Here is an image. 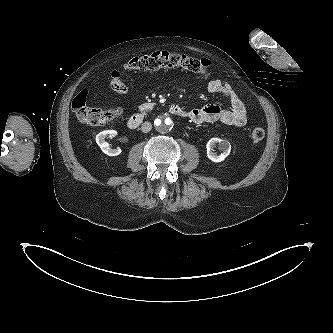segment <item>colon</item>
<instances>
[{
    "instance_id": "obj_1",
    "label": "colon",
    "mask_w": 333,
    "mask_h": 333,
    "mask_svg": "<svg viewBox=\"0 0 333 333\" xmlns=\"http://www.w3.org/2000/svg\"><path fill=\"white\" fill-rule=\"evenodd\" d=\"M181 66L194 72L208 73L211 62L205 58H194L185 54L157 51L149 55L131 58L124 65L126 71H150L165 67ZM111 88L117 93H125L127 86L122 78L120 71L115 70L111 73ZM88 91L80 92L72 102V109L79 122L91 126H100L110 120L119 117L122 113L121 108L112 107L100 109L91 107L87 104ZM265 136V131L261 127H255L250 133V140L254 143L260 142Z\"/></svg>"
}]
</instances>
